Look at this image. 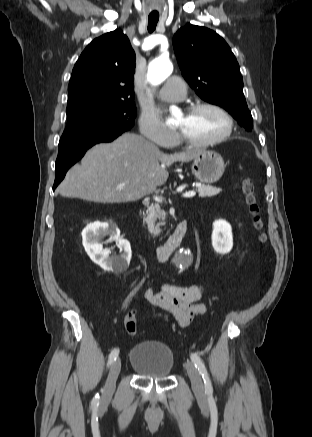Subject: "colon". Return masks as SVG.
<instances>
[{"instance_id":"5ec220e1","label":"colon","mask_w":312,"mask_h":437,"mask_svg":"<svg viewBox=\"0 0 312 437\" xmlns=\"http://www.w3.org/2000/svg\"><path fill=\"white\" fill-rule=\"evenodd\" d=\"M242 192L244 196L245 203L248 207L250 214L252 215L254 227L261 231L262 221L259 216V206L256 202L254 195V187L251 178L246 177L242 182ZM259 238L261 241L265 240V235L260 232ZM124 325L126 331L130 335H135L137 333V319L134 312H129L124 317Z\"/></svg>"}]
</instances>
